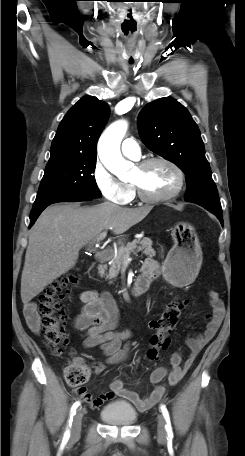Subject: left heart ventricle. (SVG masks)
Returning a JSON list of instances; mask_svg holds the SVG:
<instances>
[{"label":"left heart ventricle","mask_w":245,"mask_h":456,"mask_svg":"<svg viewBox=\"0 0 245 456\" xmlns=\"http://www.w3.org/2000/svg\"><path fill=\"white\" fill-rule=\"evenodd\" d=\"M132 182L139 184L151 196L170 193L177 184L175 172L164 163H155L144 170H134Z\"/></svg>","instance_id":"1"}]
</instances>
